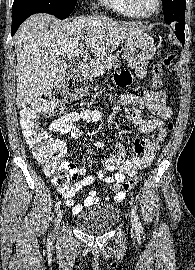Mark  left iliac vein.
<instances>
[{"mask_svg":"<svg viewBox=\"0 0 195 270\" xmlns=\"http://www.w3.org/2000/svg\"><path fill=\"white\" fill-rule=\"evenodd\" d=\"M131 227H132L133 230H135V228H136V223H135V221L132 219V217H131Z\"/></svg>","mask_w":195,"mask_h":270,"instance_id":"obj_1","label":"left iliac vein"}]
</instances>
